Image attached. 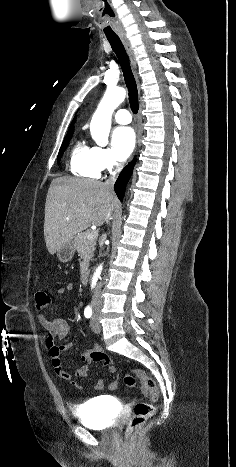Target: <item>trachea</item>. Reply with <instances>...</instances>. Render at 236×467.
<instances>
[{
	"mask_svg": "<svg viewBox=\"0 0 236 467\" xmlns=\"http://www.w3.org/2000/svg\"><path fill=\"white\" fill-rule=\"evenodd\" d=\"M113 51L115 52L118 61L120 63L123 75H124V80L125 84L128 89V95H129V103L131 110L134 114H137L138 109H139V104H138V95H137V85L130 67L129 59L126 54V51L124 49V46L118 37L114 38H107Z\"/></svg>",
	"mask_w": 236,
	"mask_h": 467,
	"instance_id": "obj_1",
	"label": "trachea"
}]
</instances>
